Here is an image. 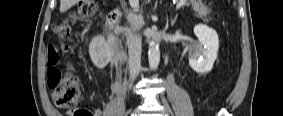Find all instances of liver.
I'll return each instance as SVG.
<instances>
[{"label":"liver","instance_id":"6515ba94","mask_svg":"<svg viewBox=\"0 0 283 116\" xmlns=\"http://www.w3.org/2000/svg\"><path fill=\"white\" fill-rule=\"evenodd\" d=\"M79 0H60V12L63 13L78 3Z\"/></svg>","mask_w":283,"mask_h":116}]
</instances>
